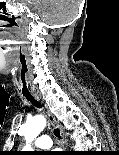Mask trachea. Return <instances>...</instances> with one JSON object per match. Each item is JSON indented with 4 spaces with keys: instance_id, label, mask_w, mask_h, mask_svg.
I'll use <instances>...</instances> for the list:
<instances>
[{
    "instance_id": "1",
    "label": "trachea",
    "mask_w": 119,
    "mask_h": 155,
    "mask_svg": "<svg viewBox=\"0 0 119 155\" xmlns=\"http://www.w3.org/2000/svg\"><path fill=\"white\" fill-rule=\"evenodd\" d=\"M22 96H25L28 101H30L35 107L41 108L42 105L31 95V90H27V87H22ZM56 137L61 139L59 129L54 130Z\"/></svg>"
}]
</instances>
